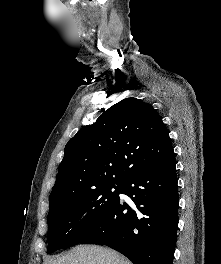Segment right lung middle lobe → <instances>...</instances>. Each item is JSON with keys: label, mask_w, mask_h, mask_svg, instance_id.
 Wrapping results in <instances>:
<instances>
[{"label": "right lung middle lobe", "mask_w": 221, "mask_h": 264, "mask_svg": "<svg viewBox=\"0 0 221 264\" xmlns=\"http://www.w3.org/2000/svg\"><path fill=\"white\" fill-rule=\"evenodd\" d=\"M122 183H109L65 198L49 211L48 250L80 243L113 210L119 201Z\"/></svg>", "instance_id": "dd1d6c3e"}]
</instances>
